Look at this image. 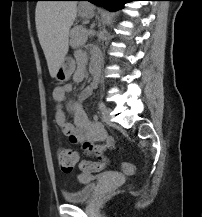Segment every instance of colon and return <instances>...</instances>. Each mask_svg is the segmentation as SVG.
Returning <instances> with one entry per match:
<instances>
[{
  "label": "colon",
  "mask_w": 202,
  "mask_h": 217,
  "mask_svg": "<svg viewBox=\"0 0 202 217\" xmlns=\"http://www.w3.org/2000/svg\"><path fill=\"white\" fill-rule=\"evenodd\" d=\"M56 159L60 168L65 172L73 170L78 162V152L71 148H61L56 151ZM104 162H90L83 160L80 162V168L86 172H101L105 169ZM121 169L125 174H134L136 169L133 163L124 162L121 164Z\"/></svg>",
  "instance_id": "5ec220e1"
}]
</instances>
